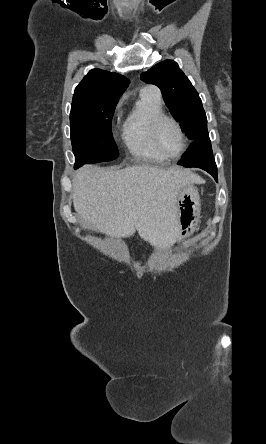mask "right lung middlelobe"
Returning <instances> with one entry per match:
<instances>
[{"label": "right lung middle lobe", "mask_w": 266, "mask_h": 444, "mask_svg": "<svg viewBox=\"0 0 266 444\" xmlns=\"http://www.w3.org/2000/svg\"><path fill=\"white\" fill-rule=\"evenodd\" d=\"M118 99H102L72 106L70 133L75 166L111 161L119 156L111 132V121Z\"/></svg>", "instance_id": "right-lung-middle-lobe-1"}]
</instances>
